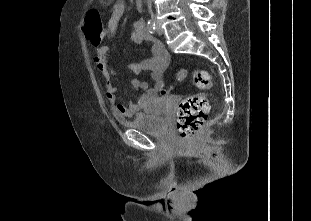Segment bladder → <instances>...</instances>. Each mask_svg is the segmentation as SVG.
<instances>
[{
  "label": "bladder",
  "instance_id": "obj_1",
  "mask_svg": "<svg viewBox=\"0 0 311 221\" xmlns=\"http://www.w3.org/2000/svg\"><path fill=\"white\" fill-rule=\"evenodd\" d=\"M176 100L177 96L174 94L158 98L153 108H146L145 112L135 114L131 120L125 122V126L144 135L165 134L170 126L172 102Z\"/></svg>",
  "mask_w": 311,
  "mask_h": 221
}]
</instances>
